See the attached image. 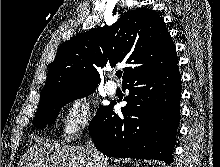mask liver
<instances>
[{
    "label": "liver",
    "instance_id": "obj_1",
    "mask_svg": "<svg viewBox=\"0 0 220 167\" xmlns=\"http://www.w3.org/2000/svg\"><path fill=\"white\" fill-rule=\"evenodd\" d=\"M22 157L18 167H95L91 151L86 146H70L36 140Z\"/></svg>",
    "mask_w": 220,
    "mask_h": 167
}]
</instances>
